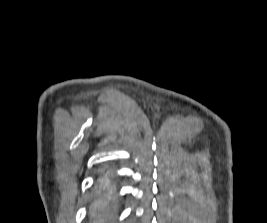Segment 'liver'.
I'll return each instance as SVG.
<instances>
[{
    "label": "liver",
    "mask_w": 267,
    "mask_h": 223,
    "mask_svg": "<svg viewBox=\"0 0 267 223\" xmlns=\"http://www.w3.org/2000/svg\"><path fill=\"white\" fill-rule=\"evenodd\" d=\"M107 206V202L104 200L97 201L92 204V217L94 223H104L103 218L106 216L104 209Z\"/></svg>",
    "instance_id": "obj_1"
}]
</instances>
